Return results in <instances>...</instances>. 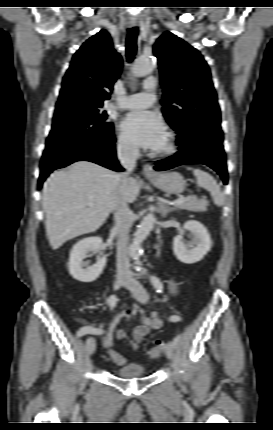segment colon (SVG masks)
I'll return each mask as SVG.
<instances>
[{"mask_svg": "<svg viewBox=\"0 0 273 430\" xmlns=\"http://www.w3.org/2000/svg\"><path fill=\"white\" fill-rule=\"evenodd\" d=\"M164 348V344L159 342L157 345H155L154 347H152L149 351H148V356L151 359H157L161 356L162 350ZM111 359L118 365H124L126 363V359L121 356L119 353L112 351L109 353Z\"/></svg>", "mask_w": 273, "mask_h": 430, "instance_id": "colon-1", "label": "colon"}]
</instances>
